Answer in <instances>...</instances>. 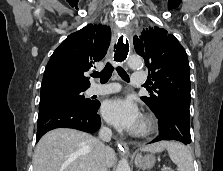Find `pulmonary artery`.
I'll list each match as a JSON object with an SVG mask.
<instances>
[{
	"label": "pulmonary artery",
	"mask_w": 223,
	"mask_h": 171,
	"mask_svg": "<svg viewBox=\"0 0 223 171\" xmlns=\"http://www.w3.org/2000/svg\"><path fill=\"white\" fill-rule=\"evenodd\" d=\"M132 82L135 85H141L145 82V75L143 72H135L132 75ZM120 90L118 84H107V85H98L94 84L89 88V93L91 95H106L111 93H116Z\"/></svg>",
	"instance_id": "obj_1"
}]
</instances>
